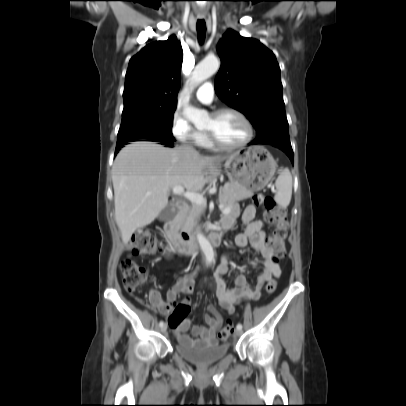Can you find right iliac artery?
Returning <instances> with one entry per match:
<instances>
[{
	"mask_svg": "<svg viewBox=\"0 0 406 406\" xmlns=\"http://www.w3.org/2000/svg\"><path fill=\"white\" fill-rule=\"evenodd\" d=\"M164 325L163 321H160L159 326L162 327Z\"/></svg>",
	"mask_w": 406,
	"mask_h": 406,
	"instance_id": "1",
	"label": "right iliac artery"
}]
</instances>
